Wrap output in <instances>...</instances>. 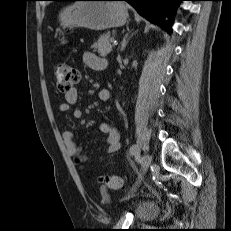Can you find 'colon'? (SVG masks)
Masks as SVG:
<instances>
[{
  "instance_id": "colon-1",
  "label": "colon",
  "mask_w": 231,
  "mask_h": 231,
  "mask_svg": "<svg viewBox=\"0 0 231 231\" xmlns=\"http://www.w3.org/2000/svg\"><path fill=\"white\" fill-rule=\"evenodd\" d=\"M54 76L57 88L62 92L69 91L80 80L79 71L66 63L56 64ZM100 182L101 191L105 194L108 189H119L123 184V178L118 175H105L100 178Z\"/></svg>"
}]
</instances>
